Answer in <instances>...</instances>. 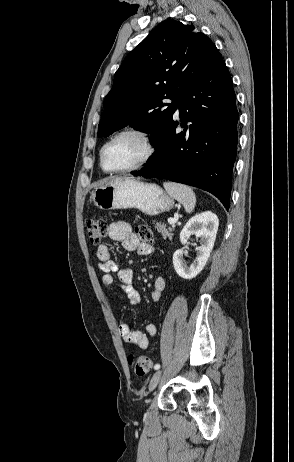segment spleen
<instances>
[{
  "mask_svg": "<svg viewBox=\"0 0 294 462\" xmlns=\"http://www.w3.org/2000/svg\"><path fill=\"white\" fill-rule=\"evenodd\" d=\"M163 186L171 197L183 204L186 212L191 213L194 210L196 196L192 188L173 182H165Z\"/></svg>",
  "mask_w": 294,
  "mask_h": 462,
  "instance_id": "obj_1",
  "label": "spleen"
}]
</instances>
